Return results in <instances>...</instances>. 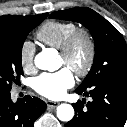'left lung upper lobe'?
Instances as JSON below:
<instances>
[{"instance_id": "1", "label": "left lung upper lobe", "mask_w": 127, "mask_h": 127, "mask_svg": "<svg viewBox=\"0 0 127 127\" xmlns=\"http://www.w3.org/2000/svg\"><path fill=\"white\" fill-rule=\"evenodd\" d=\"M49 18L80 22L95 40L93 65L76 92L87 91L104 79L127 81V45L111 23L94 10L81 7L54 12Z\"/></svg>"}]
</instances>
